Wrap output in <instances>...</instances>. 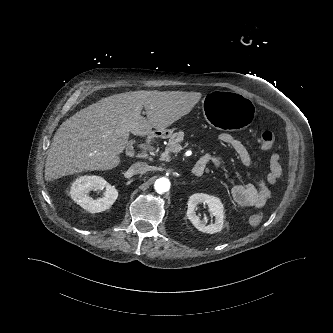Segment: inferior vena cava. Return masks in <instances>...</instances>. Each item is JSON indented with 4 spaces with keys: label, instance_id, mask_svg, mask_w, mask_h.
<instances>
[{
    "label": "inferior vena cava",
    "instance_id": "obj_1",
    "mask_svg": "<svg viewBox=\"0 0 333 333\" xmlns=\"http://www.w3.org/2000/svg\"><path fill=\"white\" fill-rule=\"evenodd\" d=\"M130 169L134 174H143L149 171L150 166L144 162H135Z\"/></svg>",
    "mask_w": 333,
    "mask_h": 333
}]
</instances>
